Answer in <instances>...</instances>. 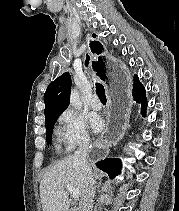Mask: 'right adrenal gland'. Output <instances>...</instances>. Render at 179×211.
Wrapping results in <instances>:
<instances>
[{
	"mask_svg": "<svg viewBox=\"0 0 179 211\" xmlns=\"http://www.w3.org/2000/svg\"><path fill=\"white\" fill-rule=\"evenodd\" d=\"M101 186V182H99V184H98V188Z\"/></svg>",
	"mask_w": 179,
	"mask_h": 211,
	"instance_id": "2a0ac1e0",
	"label": "right adrenal gland"
}]
</instances>
